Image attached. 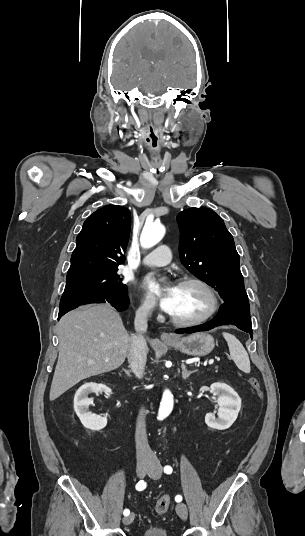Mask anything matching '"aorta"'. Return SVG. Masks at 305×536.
Masks as SVG:
<instances>
[{"label":"aorta","mask_w":305,"mask_h":536,"mask_svg":"<svg viewBox=\"0 0 305 536\" xmlns=\"http://www.w3.org/2000/svg\"><path fill=\"white\" fill-rule=\"evenodd\" d=\"M165 235V227L161 224H148L145 225L141 236L140 244L143 248H151L156 245ZM173 395L170 390L166 389L163 392L162 400L158 411V419H165L173 409Z\"/></svg>","instance_id":"obj_1"}]
</instances>
